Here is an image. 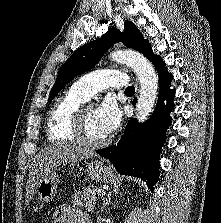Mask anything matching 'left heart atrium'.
<instances>
[{
	"mask_svg": "<svg viewBox=\"0 0 221 223\" xmlns=\"http://www.w3.org/2000/svg\"><path fill=\"white\" fill-rule=\"evenodd\" d=\"M96 117L101 129L109 135L120 125L122 112L116 100L107 96L96 109Z\"/></svg>",
	"mask_w": 221,
	"mask_h": 223,
	"instance_id": "39dd6f15",
	"label": "left heart atrium"
}]
</instances>
